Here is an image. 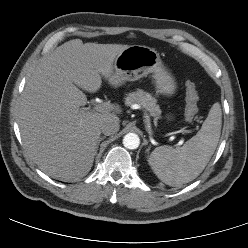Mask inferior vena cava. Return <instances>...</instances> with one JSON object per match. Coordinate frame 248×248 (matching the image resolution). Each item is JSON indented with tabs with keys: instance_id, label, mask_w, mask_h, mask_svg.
<instances>
[{
	"instance_id": "inferior-vena-cava-1",
	"label": "inferior vena cava",
	"mask_w": 248,
	"mask_h": 248,
	"mask_svg": "<svg viewBox=\"0 0 248 248\" xmlns=\"http://www.w3.org/2000/svg\"><path fill=\"white\" fill-rule=\"evenodd\" d=\"M119 122L114 119H107L101 124V131L104 135H112L118 132Z\"/></svg>"
}]
</instances>
